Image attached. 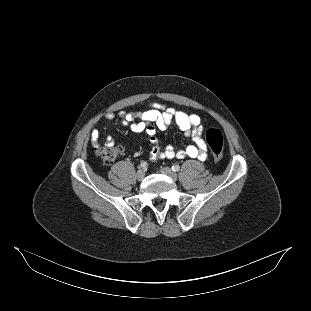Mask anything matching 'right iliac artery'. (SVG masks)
Wrapping results in <instances>:
<instances>
[{"instance_id": "1", "label": "right iliac artery", "mask_w": 311, "mask_h": 311, "mask_svg": "<svg viewBox=\"0 0 311 311\" xmlns=\"http://www.w3.org/2000/svg\"><path fill=\"white\" fill-rule=\"evenodd\" d=\"M147 166H148L147 162H141V164H140V168H142V169H146Z\"/></svg>"}]
</instances>
